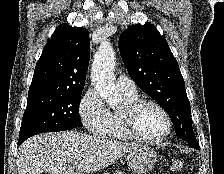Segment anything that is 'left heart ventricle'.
I'll return each instance as SVG.
<instances>
[{
    "instance_id": "b2bd125f",
    "label": "left heart ventricle",
    "mask_w": 224,
    "mask_h": 174,
    "mask_svg": "<svg viewBox=\"0 0 224 174\" xmlns=\"http://www.w3.org/2000/svg\"><path fill=\"white\" fill-rule=\"evenodd\" d=\"M135 126L141 135L156 138L164 133L166 121L157 108L152 105H144L136 114Z\"/></svg>"
}]
</instances>
